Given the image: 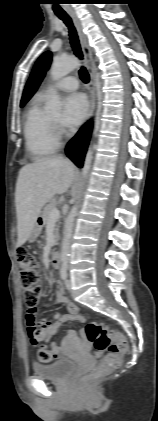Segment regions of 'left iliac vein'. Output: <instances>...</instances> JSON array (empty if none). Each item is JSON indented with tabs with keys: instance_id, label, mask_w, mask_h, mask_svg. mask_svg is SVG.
Listing matches in <instances>:
<instances>
[{
	"instance_id": "1",
	"label": "left iliac vein",
	"mask_w": 158,
	"mask_h": 421,
	"mask_svg": "<svg viewBox=\"0 0 158 421\" xmlns=\"http://www.w3.org/2000/svg\"><path fill=\"white\" fill-rule=\"evenodd\" d=\"M65 285L67 287V289H71V281L69 279L66 280Z\"/></svg>"
}]
</instances>
